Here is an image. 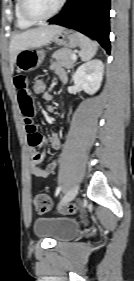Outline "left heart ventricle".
<instances>
[{
  "label": "left heart ventricle",
  "instance_id": "obj_1",
  "mask_svg": "<svg viewBox=\"0 0 134 281\" xmlns=\"http://www.w3.org/2000/svg\"><path fill=\"white\" fill-rule=\"evenodd\" d=\"M60 0H29L30 9L37 15L51 13L59 4Z\"/></svg>",
  "mask_w": 134,
  "mask_h": 281
}]
</instances>
